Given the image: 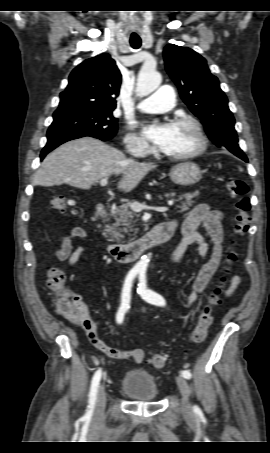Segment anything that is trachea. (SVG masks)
I'll return each mask as SVG.
<instances>
[{"label":"trachea","mask_w":270,"mask_h":453,"mask_svg":"<svg viewBox=\"0 0 270 453\" xmlns=\"http://www.w3.org/2000/svg\"><path fill=\"white\" fill-rule=\"evenodd\" d=\"M130 45L134 49H138L141 46V41L136 40V41H130Z\"/></svg>","instance_id":"trachea-1"}]
</instances>
